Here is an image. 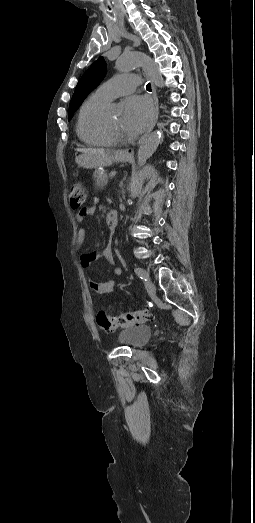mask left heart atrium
<instances>
[{
  "mask_svg": "<svg viewBox=\"0 0 255 523\" xmlns=\"http://www.w3.org/2000/svg\"><path fill=\"white\" fill-rule=\"evenodd\" d=\"M124 119L132 134L140 133L153 117V105L145 96H131L124 106Z\"/></svg>",
  "mask_w": 255,
  "mask_h": 523,
  "instance_id": "39dd6f15",
  "label": "left heart atrium"
}]
</instances>
